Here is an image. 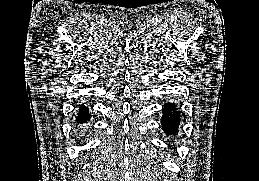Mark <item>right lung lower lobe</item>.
Segmentation results:
<instances>
[{
  "instance_id": "right-lung-lower-lobe-1",
  "label": "right lung lower lobe",
  "mask_w": 259,
  "mask_h": 181,
  "mask_svg": "<svg viewBox=\"0 0 259 181\" xmlns=\"http://www.w3.org/2000/svg\"><path fill=\"white\" fill-rule=\"evenodd\" d=\"M89 119H90L89 110L86 106H84V103H83L81 106H79L78 113L76 116V121L78 124L83 125V124H86L87 121H89Z\"/></svg>"
}]
</instances>
